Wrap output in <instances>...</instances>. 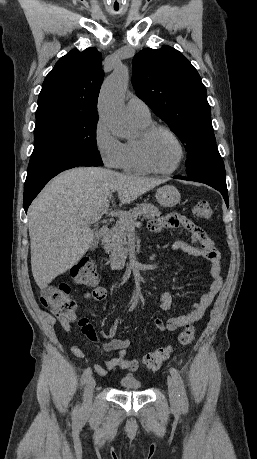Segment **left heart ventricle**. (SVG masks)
Returning <instances> with one entry per match:
<instances>
[{
  "instance_id": "1",
  "label": "left heart ventricle",
  "mask_w": 257,
  "mask_h": 459,
  "mask_svg": "<svg viewBox=\"0 0 257 459\" xmlns=\"http://www.w3.org/2000/svg\"><path fill=\"white\" fill-rule=\"evenodd\" d=\"M149 156L160 169L172 168L180 155L176 142L165 132H157L149 142Z\"/></svg>"
}]
</instances>
